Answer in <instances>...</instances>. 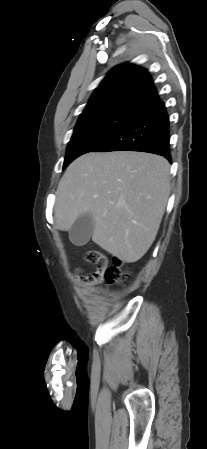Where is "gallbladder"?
<instances>
[{
  "label": "gallbladder",
  "mask_w": 207,
  "mask_h": 449,
  "mask_svg": "<svg viewBox=\"0 0 207 449\" xmlns=\"http://www.w3.org/2000/svg\"><path fill=\"white\" fill-rule=\"evenodd\" d=\"M94 230V221L90 214L80 215L69 230L70 241L77 246L85 245Z\"/></svg>",
  "instance_id": "obj_1"
}]
</instances>
